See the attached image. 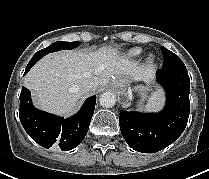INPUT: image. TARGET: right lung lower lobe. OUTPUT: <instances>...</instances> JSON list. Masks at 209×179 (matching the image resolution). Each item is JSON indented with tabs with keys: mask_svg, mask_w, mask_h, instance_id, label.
<instances>
[{
	"mask_svg": "<svg viewBox=\"0 0 209 179\" xmlns=\"http://www.w3.org/2000/svg\"><path fill=\"white\" fill-rule=\"evenodd\" d=\"M37 61H30L24 75ZM96 96L89 97L75 115L64 119L36 109L30 91L23 87L20 94L19 118L28 135L39 145L59 146L68 151L78 146L86 136L94 113Z\"/></svg>",
	"mask_w": 209,
	"mask_h": 179,
	"instance_id": "1",
	"label": "right lung lower lobe"
}]
</instances>
